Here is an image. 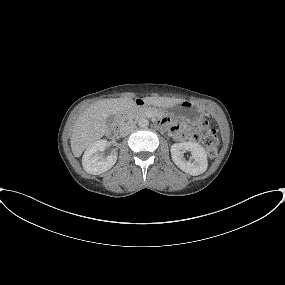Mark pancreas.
<instances>
[{"mask_svg": "<svg viewBox=\"0 0 285 285\" xmlns=\"http://www.w3.org/2000/svg\"><path fill=\"white\" fill-rule=\"evenodd\" d=\"M154 114L156 116L160 115L159 112L148 109V108H132L130 111H127L124 115V118L127 120L137 119L139 117L147 116L148 114Z\"/></svg>", "mask_w": 285, "mask_h": 285, "instance_id": "1", "label": "pancreas"}]
</instances>
